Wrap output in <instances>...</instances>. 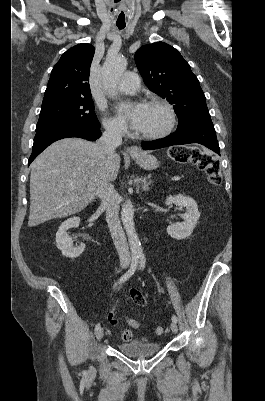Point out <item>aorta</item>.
<instances>
[{
	"label": "aorta",
	"mask_w": 265,
	"mask_h": 401,
	"mask_svg": "<svg viewBox=\"0 0 265 401\" xmlns=\"http://www.w3.org/2000/svg\"><path fill=\"white\" fill-rule=\"evenodd\" d=\"M127 66L125 58H116L110 60L106 58L102 66V78L105 86L108 88L109 94L114 96L115 86L120 80L122 72ZM121 219L128 237L131 255H143V249L139 241V237L135 231L134 209L132 203H124L121 211Z\"/></svg>",
	"instance_id": "1"
}]
</instances>
